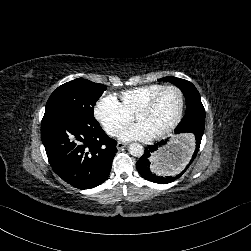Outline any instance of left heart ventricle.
Listing matches in <instances>:
<instances>
[{
	"mask_svg": "<svg viewBox=\"0 0 251 251\" xmlns=\"http://www.w3.org/2000/svg\"><path fill=\"white\" fill-rule=\"evenodd\" d=\"M181 105V97L176 91H168L155 104L152 109L136 111L137 120L148 121L159 133L162 129L171 125L178 117Z\"/></svg>",
	"mask_w": 251,
	"mask_h": 251,
	"instance_id": "b2bd125f",
	"label": "left heart ventricle"
}]
</instances>
